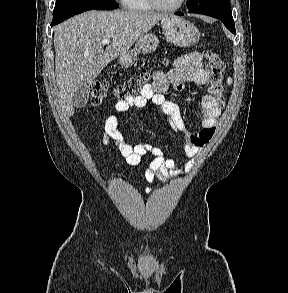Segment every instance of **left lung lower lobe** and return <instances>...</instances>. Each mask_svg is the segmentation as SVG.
I'll list each match as a JSON object with an SVG mask.
<instances>
[{
    "label": "left lung lower lobe",
    "instance_id": "left-lung-lower-lobe-1",
    "mask_svg": "<svg viewBox=\"0 0 288 293\" xmlns=\"http://www.w3.org/2000/svg\"><path fill=\"white\" fill-rule=\"evenodd\" d=\"M189 12L196 13V12H193V11H189ZM175 14L176 15H179V16L183 15L182 12H176ZM208 16H210V15H208ZM211 17H214V18H217V19L221 20L223 22V24L226 26V28L229 31H231L234 34L236 33L235 26H234V21L233 20H226V19H223V18H220V17H217V16H211Z\"/></svg>",
    "mask_w": 288,
    "mask_h": 293
}]
</instances>
